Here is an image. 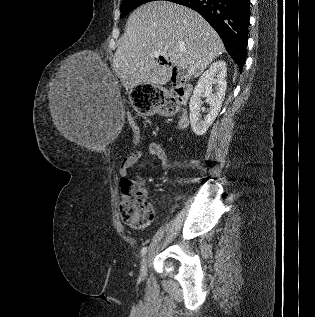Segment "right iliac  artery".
I'll return each instance as SVG.
<instances>
[{"label":"right iliac artery","mask_w":315,"mask_h":317,"mask_svg":"<svg viewBox=\"0 0 315 317\" xmlns=\"http://www.w3.org/2000/svg\"><path fill=\"white\" fill-rule=\"evenodd\" d=\"M147 252V247H143L141 250V255L144 256Z\"/></svg>","instance_id":"right-iliac-artery-1"}]
</instances>
